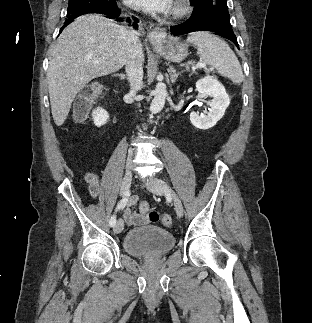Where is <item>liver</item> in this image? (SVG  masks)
Wrapping results in <instances>:
<instances>
[{"label":"liver","mask_w":312,"mask_h":323,"mask_svg":"<svg viewBox=\"0 0 312 323\" xmlns=\"http://www.w3.org/2000/svg\"><path fill=\"white\" fill-rule=\"evenodd\" d=\"M128 52L126 28L103 18V14L79 16L63 30L49 50L47 70L51 114L56 126L67 120L78 92L94 78L123 68Z\"/></svg>","instance_id":"1"}]
</instances>
